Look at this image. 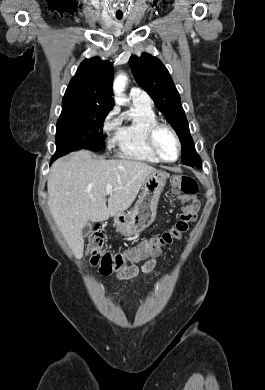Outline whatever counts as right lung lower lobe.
Instances as JSON below:
<instances>
[{
	"label": "right lung lower lobe",
	"instance_id": "obj_1",
	"mask_svg": "<svg viewBox=\"0 0 265 390\" xmlns=\"http://www.w3.org/2000/svg\"><path fill=\"white\" fill-rule=\"evenodd\" d=\"M58 157H61V156L55 154L54 156H52L50 162L52 163V162H53L55 159H57Z\"/></svg>",
	"mask_w": 265,
	"mask_h": 390
}]
</instances>
